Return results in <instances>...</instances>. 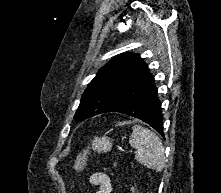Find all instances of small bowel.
I'll return each mask as SVG.
<instances>
[{
  "label": "small bowel",
  "mask_w": 221,
  "mask_h": 193,
  "mask_svg": "<svg viewBox=\"0 0 221 193\" xmlns=\"http://www.w3.org/2000/svg\"><path fill=\"white\" fill-rule=\"evenodd\" d=\"M89 183L91 185L98 186V191L96 193H111L112 192V184L110 177L103 172L93 173L89 177Z\"/></svg>",
  "instance_id": "obj_1"
}]
</instances>
